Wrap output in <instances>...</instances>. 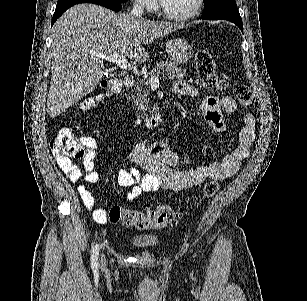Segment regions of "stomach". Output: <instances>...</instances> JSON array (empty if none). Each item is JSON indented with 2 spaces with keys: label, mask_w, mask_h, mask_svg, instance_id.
Here are the masks:
<instances>
[{
  "label": "stomach",
  "mask_w": 307,
  "mask_h": 301,
  "mask_svg": "<svg viewBox=\"0 0 307 301\" xmlns=\"http://www.w3.org/2000/svg\"><path fill=\"white\" fill-rule=\"evenodd\" d=\"M165 46L166 52L174 64L188 62L193 56V48L186 38H169Z\"/></svg>",
  "instance_id": "obj_1"
}]
</instances>
